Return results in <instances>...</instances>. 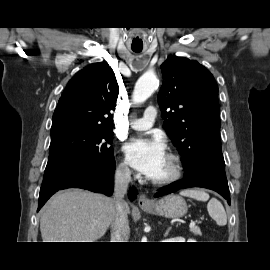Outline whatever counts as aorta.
<instances>
[{
  "mask_svg": "<svg viewBox=\"0 0 270 270\" xmlns=\"http://www.w3.org/2000/svg\"><path fill=\"white\" fill-rule=\"evenodd\" d=\"M159 80L153 73L142 75L135 84L133 91V101L142 103L147 100L152 93L157 89Z\"/></svg>",
  "mask_w": 270,
  "mask_h": 270,
  "instance_id": "aorta-1",
  "label": "aorta"
}]
</instances>
